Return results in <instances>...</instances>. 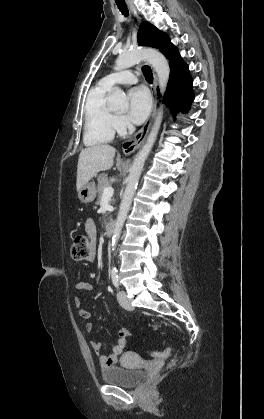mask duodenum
Returning a JSON list of instances; mask_svg holds the SVG:
<instances>
[{
	"mask_svg": "<svg viewBox=\"0 0 264 419\" xmlns=\"http://www.w3.org/2000/svg\"><path fill=\"white\" fill-rule=\"evenodd\" d=\"M115 229V222L114 221H108L105 225L104 232L106 236H111Z\"/></svg>",
	"mask_w": 264,
	"mask_h": 419,
	"instance_id": "410a0bca",
	"label": "duodenum"
}]
</instances>
